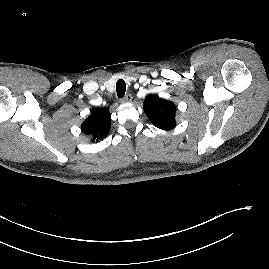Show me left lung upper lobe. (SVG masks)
<instances>
[{
    "label": "left lung upper lobe",
    "mask_w": 269,
    "mask_h": 269,
    "mask_svg": "<svg viewBox=\"0 0 269 269\" xmlns=\"http://www.w3.org/2000/svg\"><path fill=\"white\" fill-rule=\"evenodd\" d=\"M144 111L152 124L160 129L170 130L176 125V106L171 101L149 95L144 100Z\"/></svg>",
    "instance_id": "obj_1"
}]
</instances>
